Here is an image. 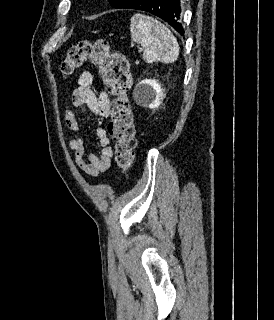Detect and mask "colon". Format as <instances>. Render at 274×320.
Returning a JSON list of instances; mask_svg holds the SVG:
<instances>
[{
	"mask_svg": "<svg viewBox=\"0 0 274 320\" xmlns=\"http://www.w3.org/2000/svg\"><path fill=\"white\" fill-rule=\"evenodd\" d=\"M100 70L107 91L113 96L110 135L115 142V159L122 171L131 170L135 157V122L128 91L131 87L129 63L121 52L112 51L106 40L70 47L60 63V72L71 76L84 64Z\"/></svg>",
	"mask_w": 274,
	"mask_h": 320,
	"instance_id": "obj_1",
	"label": "colon"
}]
</instances>
